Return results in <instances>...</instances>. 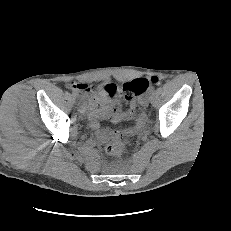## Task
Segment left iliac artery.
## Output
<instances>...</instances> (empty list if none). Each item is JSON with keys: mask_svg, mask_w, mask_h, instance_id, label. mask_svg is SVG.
Wrapping results in <instances>:
<instances>
[{"mask_svg": "<svg viewBox=\"0 0 231 231\" xmlns=\"http://www.w3.org/2000/svg\"><path fill=\"white\" fill-rule=\"evenodd\" d=\"M153 90H154L153 86L149 88V92H153Z\"/></svg>", "mask_w": 231, "mask_h": 231, "instance_id": "obj_1", "label": "left iliac artery"}]
</instances>
